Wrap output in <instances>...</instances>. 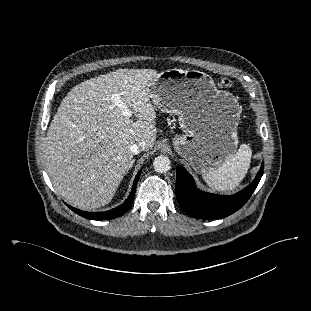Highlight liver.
<instances>
[{
    "label": "liver",
    "mask_w": 311,
    "mask_h": 311,
    "mask_svg": "<svg viewBox=\"0 0 311 311\" xmlns=\"http://www.w3.org/2000/svg\"><path fill=\"white\" fill-rule=\"evenodd\" d=\"M152 69H118L76 85L62 100L47 133L46 168L59 195L83 210L108 204L129 166L130 146L156 140L149 84ZM120 94L137 118L115 106Z\"/></svg>",
    "instance_id": "1"
}]
</instances>
